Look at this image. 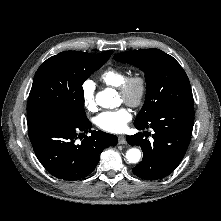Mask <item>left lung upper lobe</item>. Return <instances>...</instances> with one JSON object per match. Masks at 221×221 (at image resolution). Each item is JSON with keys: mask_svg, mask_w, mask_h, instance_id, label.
Masks as SVG:
<instances>
[{"mask_svg": "<svg viewBox=\"0 0 221 221\" xmlns=\"http://www.w3.org/2000/svg\"><path fill=\"white\" fill-rule=\"evenodd\" d=\"M113 58L137 66L145 73V103L134 124H143L164 109L193 106L189 79L169 54L159 49H141L118 53Z\"/></svg>", "mask_w": 221, "mask_h": 221, "instance_id": "left-lung-upper-lobe-1", "label": "left lung upper lobe"}]
</instances>
